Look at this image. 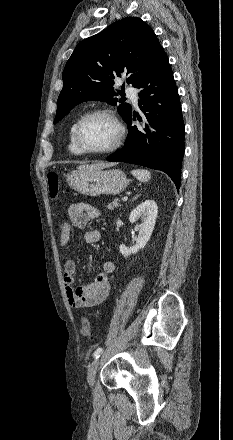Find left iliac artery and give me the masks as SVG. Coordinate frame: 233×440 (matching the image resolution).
I'll use <instances>...</instances> for the list:
<instances>
[{
  "label": "left iliac artery",
  "instance_id": "left-iliac-artery-1",
  "mask_svg": "<svg viewBox=\"0 0 233 440\" xmlns=\"http://www.w3.org/2000/svg\"><path fill=\"white\" fill-rule=\"evenodd\" d=\"M102 351H103L102 348H98V349L94 352L93 357H94L95 359L99 358V356H100V354L102 353Z\"/></svg>",
  "mask_w": 233,
  "mask_h": 440
}]
</instances>
